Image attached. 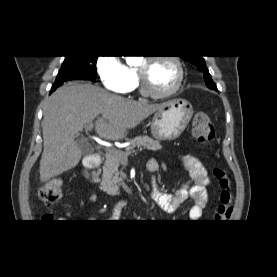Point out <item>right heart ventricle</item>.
Listing matches in <instances>:
<instances>
[{"label":"right heart ventricle","instance_id":"right-heart-ventricle-1","mask_svg":"<svg viewBox=\"0 0 277 277\" xmlns=\"http://www.w3.org/2000/svg\"><path fill=\"white\" fill-rule=\"evenodd\" d=\"M130 72L133 76V85L131 87V89L135 88L137 86V82H138V79H137V70L136 68H130Z\"/></svg>","mask_w":277,"mask_h":277}]
</instances>
